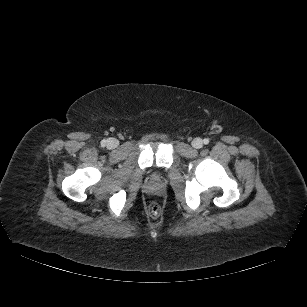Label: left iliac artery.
<instances>
[{"label": "left iliac artery", "instance_id": "left-iliac-artery-1", "mask_svg": "<svg viewBox=\"0 0 307 307\" xmlns=\"http://www.w3.org/2000/svg\"><path fill=\"white\" fill-rule=\"evenodd\" d=\"M203 142H204V144H208V143H209V139L205 138V139L203 140Z\"/></svg>", "mask_w": 307, "mask_h": 307}]
</instances>
